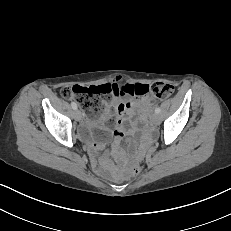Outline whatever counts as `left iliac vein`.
<instances>
[{
	"label": "left iliac vein",
	"mask_w": 231,
	"mask_h": 231,
	"mask_svg": "<svg viewBox=\"0 0 231 231\" xmlns=\"http://www.w3.org/2000/svg\"><path fill=\"white\" fill-rule=\"evenodd\" d=\"M151 121L153 124L158 125L160 123V115L158 113H154L151 117Z\"/></svg>",
	"instance_id": "left-iliac-vein-1"
}]
</instances>
